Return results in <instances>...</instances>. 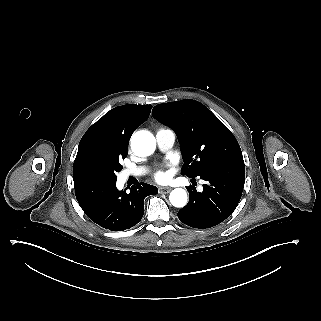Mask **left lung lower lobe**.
<instances>
[{"instance_id":"left-lung-lower-lobe-1","label":"left lung lower lobe","mask_w":321,"mask_h":321,"mask_svg":"<svg viewBox=\"0 0 321 321\" xmlns=\"http://www.w3.org/2000/svg\"><path fill=\"white\" fill-rule=\"evenodd\" d=\"M197 176L206 181L203 191L187 187L190 199L178 218L190 227L205 229L224 221L237 207L245 183L243 157L211 164Z\"/></svg>"}]
</instances>
